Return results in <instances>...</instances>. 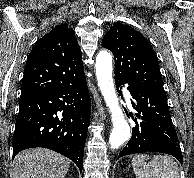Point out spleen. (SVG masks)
I'll list each match as a JSON object with an SVG mask.
<instances>
[{"label": "spleen", "instance_id": "1", "mask_svg": "<svg viewBox=\"0 0 194 178\" xmlns=\"http://www.w3.org/2000/svg\"><path fill=\"white\" fill-rule=\"evenodd\" d=\"M149 155H135L132 159L136 178H179V167L176 161L167 155H154L146 165Z\"/></svg>", "mask_w": 194, "mask_h": 178}]
</instances>
